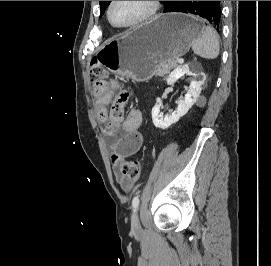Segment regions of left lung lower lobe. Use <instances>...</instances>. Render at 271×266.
<instances>
[{
    "instance_id": "obj_1",
    "label": "left lung lower lobe",
    "mask_w": 271,
    "mask_h": 266,
    "mask_svg": "<svg viewBox=\"0 0 271 266\" xmlns=\"http://www.w3.org/2000/svg\"><path fill=\"white\" fill-rule=\"evenodd\" d=\"M163 12H183L200 16L219 31L222 15L220 1H169Z\"/></svg>"
}]
</instances>
